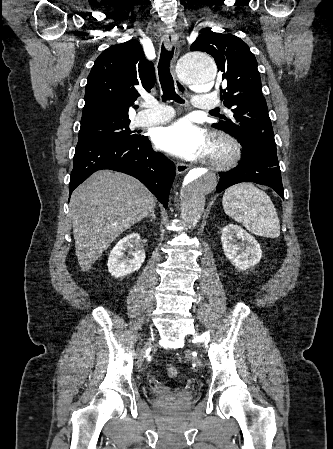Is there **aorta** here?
Returning a JSON list of instances; mask_svg holds the SVG:
<instances>
[{
  "mask_svg": "<svg viewBox=\"0 0 333 449\" xmlns=\"http://www.w3.org/2000/svg\"><path fill=\"white\" fill-rule=\"evenodd\" d=\"M181 81L188 87L209 91L214 85L217 68L214 60L205 52L194 51L183 56L178 64ZM217 186V174L210 170H191L183 179L179 200L181 216L187 223L195 225L205 207V198Z\"/></svg>",
  "mask_w": 333,
  "mask_h": 449,
  "instance_id": "aorta-1",
  "label": "aorta"
}]
</instances>
